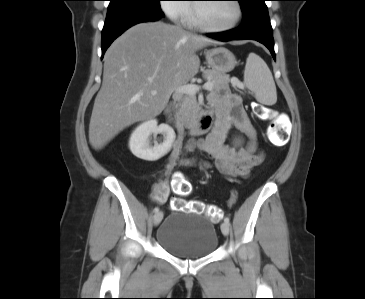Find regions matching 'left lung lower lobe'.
Wrapping results in <instances>:
<instances>
[{
    "instance_id": "0a47b994",
    "label": "left lung lower lobe",
    "mask_w": 365,
    "mask_h": 299,
    "mask_svg": "<svg viewBox=\"0 0 365 299\" xmlns=\"http://www.w3.org/2000/svg\"><path fill=\"white\" fill-rule=\"evenodd\" d=\"M207 36L221 41L256 40L269 49L275 60L273 30L266 4L257 5L244 12L242 25L238 29L210 33Z\"/></svg>"
}]
</instances>
